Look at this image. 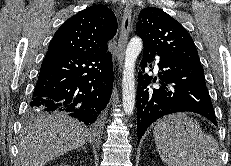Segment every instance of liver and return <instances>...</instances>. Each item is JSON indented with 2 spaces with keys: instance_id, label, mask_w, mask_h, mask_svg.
<instances>
[{
  "instance_id": "liver-1",
  "label": "liver",
  "mask_w": 231,
  "mask_h": 166,
  "mask_svg": "<svg viewBox=\"0 0 231 166\" xmlns=\"http://www.w3.org/2000/svg\"><path fill=\"white\" fill-rule=\"evenodd\" d=\"M89 138L88 130L65 113L38 117L21 131L20 166H44Z\"/></svg>"
}]
</instances>
